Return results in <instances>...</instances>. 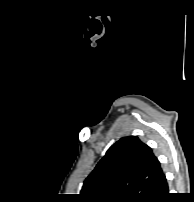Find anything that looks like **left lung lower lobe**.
<instances>
[{"label": "left lung lower lobe", "instance_id": "1", "mask_svg": "<svg viewBox=\"0 0 194 202\" xmlns=\"http://www.w3.org/2000/svg\"><path fill=\"white\" fill-rule=\"evenodd\" d=\"M168 196H169L168 185L165 176H163L152 202H164L165 199L168 198Z\"/></svg>", "mask_w": 194, "mask_h": 202}]
</instances>
